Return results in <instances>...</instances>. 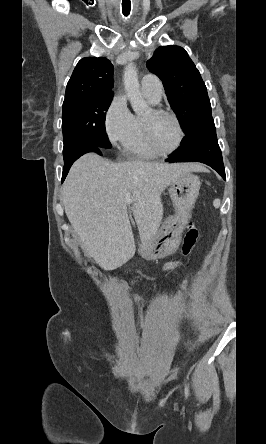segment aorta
<instances>
[{
	"label": "aorta",
	"instance_id": "1",
	"mask_svg": "<svg viewBox=\"0 0 266 444\" xmlns=\"http://www.w3.org/2000/svg\"><path fill=\"white\" fill-rule=\"evenodd\" d=\"M123 82L133 111L138 115L143 114L148 109V105L141 95L137 69L134 63L127 64L124 70Z\"/></svg>",
	"mask_w": 266,
	"mask_h": 444
}]
</instances>
